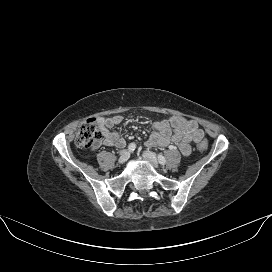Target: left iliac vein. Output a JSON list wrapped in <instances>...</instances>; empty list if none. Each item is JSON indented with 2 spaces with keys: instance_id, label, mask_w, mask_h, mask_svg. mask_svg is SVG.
Wrapping results in <instances>:
<instances>
[{
  "instance_id": "left-iliac-vein-1",
  "label": "left iliac vein",
  "mask_w": 272,
  "mask_h": 272,
  "mask_svg": "<svg viewBox=\"0 0 272 272\" xmlns=\"http://www.w3.org/2000/svg\"><path fill=\"white\" fill-rule=\"evenodd\" d=\"M143 158L147 162H149L154 168H159V164H158L157 158L154 153H152L150 151H144Z\"/></svg>"
}]
</instances>
